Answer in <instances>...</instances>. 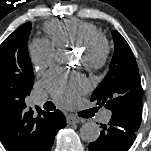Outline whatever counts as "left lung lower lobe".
I'll list each match as a JSON object with an SVG mask.
<instances>
[{"instance_id":"0a47b994","label":"left lung lower lobe","mask_w":151,"mask_h":151,"mask_svg":"<svg viewBox=\"0 0 151 151\" xmlns=\"http://www.w3.org/2000/svg\"><path fill=\"white\" fill-rule=\"evenodd\" d=\"M101 127L100 137L89 144L90 151H127L136 138L134 127L115 118Z\"/></svg>"}]
</instances>
